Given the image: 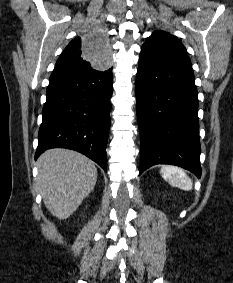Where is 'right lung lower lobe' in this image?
<instances>
[{"instance_id": "right-lung-lower-lobe-1", "label": "right lung lower lobe", "mask_w": 233, "mask_h": 283, "mask_svg": "<svg viewBox=\"0 0 233 283\" xmlns=\"http://www.w3.org/2000/svg\"><path fill=\"white\" fill-rule=\"evenodd\" d=\"M112 81V68L53 71L35 159L47 149L62 147L81 152L107 171Z\"/></svg>"}]
</instances>
